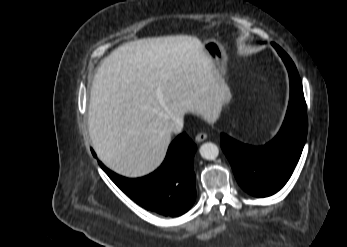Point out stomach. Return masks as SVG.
Masks as SVG:
<instances>
[{"label": "stomach", "mask_w": 347, "mask_h": 247, "mask_svg": "<svg viewBox=\"0 0 347 247\" xmlns=\"http://www.w3.org/2000/svg\"><path fill=\"white\" fill-rule=\"evenodd\" d=\"M203 51L206 56L213 61L214 65L217 66L221 73L224 75L226 72V62L227 54L221 43L216 40H207L203 44ZM228 88V98L225 100L224 104L228 108L232 102V93L230 88Z\"/></svg>", "instance_id": "1"}]
</instances>
